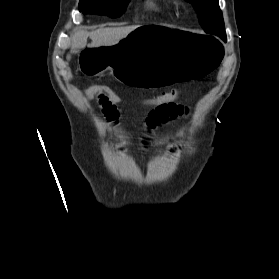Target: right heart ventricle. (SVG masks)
Listing matches in <instances>:
<instances>
[{"mask_svg":"<svg viewBox=\"0 0 279 279\" xmlns=\"http://www.w3.org/2000/svg\"><path fill=\"white\" fill-rule=\"evenodd\" d=\"M151 6H152V7H155V4L152 3Z\"/></svg>","mask_w":279,"mask_h":279,"instance_id":"1","label":"right heart ventricle"}]
</instances>
